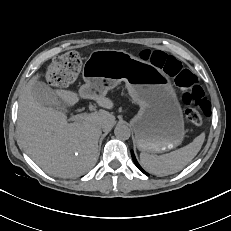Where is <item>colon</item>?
<instances>
[{
	"label": "colon",
	"mask_w": 231,
	"mask_h": 231,
	"mask_svg": "<svg viewBox=\"0 0 231 231\" xmlns=\"http://www.w3.org/2000/svg\"><path fill=\"white\" fill-rule=\"evenodd\" d=\"M142 58L150 60L154 65L163 69L182 89V101L186 106L185 123L188 127L200 125L210 114V102L197 77L174 56L162 51H144ZM82 60L75 52H67L55 58L47 68V78L54 85H64L73 81L80 72Z\"/></svg>",
	"instance_id": "obj_1"
}]
</instances>
